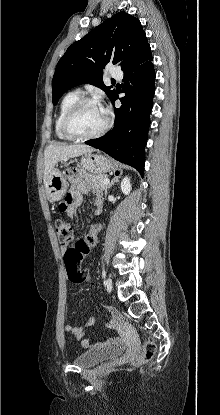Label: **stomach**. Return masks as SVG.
<instances>
[{
	"label": "stomach",
	"instance_id": "stomach-1",
	"mask_svg": "<svg viewBox=\"0 0 220 415\" xmlns=\"http://www.w3.org/2000/svg\"><path fill=\"white\" fill-rule=\"evenodd\" d=\"M80 165L83 170L94 174H104L115 169L113 162L101 154L86 153L82 156ZM68 182L66 176L60 171L53 170L47 179L45 189L52 201H59L66 194Z\"/></svg>",
	"mask_w": 220,
	"mask_h": 415
}]
</instances>
